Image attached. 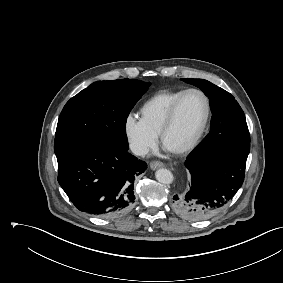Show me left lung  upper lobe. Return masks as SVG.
<instances>
[{
  "label": "left lung upper lobe",
  "mask_w": 283,
  "mask_h": 283,
  "mask_svg": "<svg viewBox=\"0 0 283 283\" xmlns=\"http://www.w3.org/2000/svg\"><path fill=\"white\" fill-rule=\"evenodd\" d=\"M200 88L210 99L211 129L203 142L190 155L217 150L249 154L250 135L243 110L224 89L203 79H182Z\"/></svg>",
  "instance_id": "5c2ea615"
}]
</instances>
